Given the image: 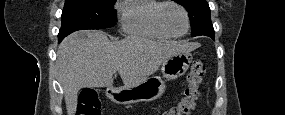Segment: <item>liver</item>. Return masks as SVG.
I'll list each match as a JSON object with an SVG mask.
<instances>
[{
  "label": "liver",
  "instance_id": "obj_1",
  "mask_svg": "<svg viewBox=\"0 0 285 115\" xmlns=\"http://www.w3.org/2000/svg\"><path fill=\"white\" fill-rule=\"evenodd\" d=\"M199 46L198 43L156 42L135 36L111 42L99 30L74 32L59 45L56 61L67 115L75 114L81 88L112 87L116 72L125 86H134L156 72L166 59L189 53Z\"/></svg>",
  "mask_w": 285,
  "mask_h": 115
}]
</instances>
